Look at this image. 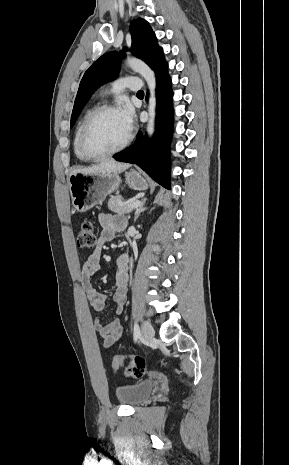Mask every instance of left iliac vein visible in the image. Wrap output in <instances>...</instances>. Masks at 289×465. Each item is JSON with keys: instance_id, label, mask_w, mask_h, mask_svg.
Returning a JSON list of instances; mask_svg holds the SVG:
<instances>
[{"instance_id": "1", "label": "left iliac vein", "mask_w": 289, "mask_h": 465, "mask_svg": "<svg viewBox=\"0 0 289 465\" xmlns=\"http://www.w3.org/2000/svg\"><path fill=\"white\" fill-rule=\"evenodd\" d=\"M154 329L148 321L142 324V335L147 342H151L154 337Z\"/></svg>"}]
</instances>
